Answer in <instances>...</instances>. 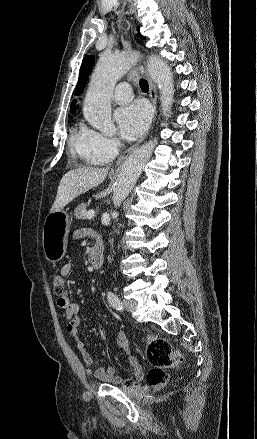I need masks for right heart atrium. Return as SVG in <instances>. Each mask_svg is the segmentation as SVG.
<instances>
[{"label": "right heart atrium", "mask_w": 257, "mask_h": 439, "mask_svg": "<svg viewBox=\"0 0 257 439\" xmlns=\"http://www.w3.org/2000/svg\"><path fill=\"white\" fill-rule=\"evenodd\" d=\"M89 150L91 154L102 161H108L115 156L119 148V140L100 132L89 130Z\"/></svg>", "instance_id": "d8ad5b80"}]
</instances>
